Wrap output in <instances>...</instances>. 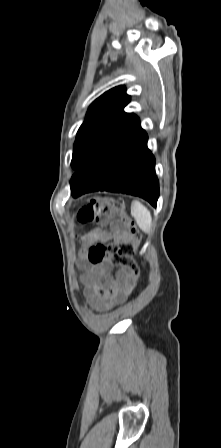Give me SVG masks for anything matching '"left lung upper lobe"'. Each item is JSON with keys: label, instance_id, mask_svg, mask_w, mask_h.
Wrapping results in <instances>:
<instances>
[{"label": "left lung upper lobe", "instance_id": "obj_1", "mask_svg": "<svg viewBox=\"0 0 221 448\" xmlns=\"http://www.w3.org/2000/svg\"><path fill=\"white\" fill-rule=\"evenodd\" d=\"M125 91L124 86L115 87L90 105L74 143L75 170L95 165L141 130L139 118L123 110L130 100Z\"/></svg>", "mask_w": 221, "mask_h": 448}]
</instances>
